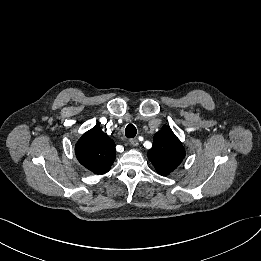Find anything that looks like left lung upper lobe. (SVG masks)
<instances>
[{
  "label": "left lung upper lobe",
  "instance_id": "1",
  "mask_svg": "<svg viewBox=\"0 0 261 261\" xmlns=\"http://www.w3.org/2000/svg\"><path fill=\"white\" fill-rule=\"evenodd\" d=\"M147 156L158 174L166 176L175 170L185 157L180 140L169 126H163L153 138V146Z\"/></svg>",
  "mask_w": 261,
  "mask_h": 261
}]
</instances>
